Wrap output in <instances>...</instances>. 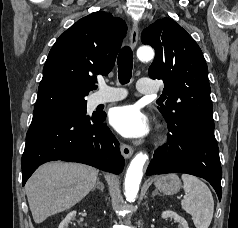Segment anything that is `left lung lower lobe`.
I'll return each instance as SVG.
<instances>
[{
	"instance_id": "obj_1",
	"label": "left lung lower lobe",
	"mask_w": 238,
	"mask_h": 228,
	"mask_svg": "<svg viewBox=\"0 0 238 228\" xmlns=\"http://www.w3.org/2000/svg\"><path fill=\"white\" fill-rule=\"evenodd\" d=\"M168 143L154 153L147 175L186 173L206 179L222 196L221 164L214 126L169 122Z\"/></svg>"
}]
</instances>
